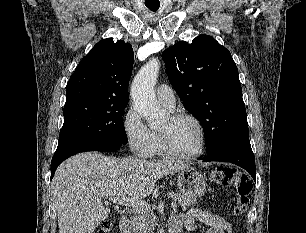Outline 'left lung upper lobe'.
Segmentation results:
<instances>
[{
    "mask_svg": "<svg viewBox=\"0 0 306 233\" xmlns=\"http://www.w3.org/2000/svg\"><path fill=\"white\" fill-rule=\"evenodd\" d=\"M162 58L184 107L203 125L207 152L249 139L238 69L225 47L200 35L166 49Z\"/></svg>",
    "mask_w": 306,
    "mask_h": 233,
    "instance_id": "left-lung-upper-lobe-1",
    "label": "left lung upper lobe"
}]
</instances>
